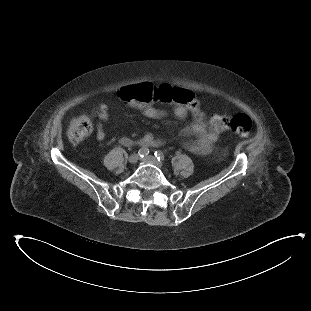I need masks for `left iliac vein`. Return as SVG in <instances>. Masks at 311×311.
I'll use <instances>...</instances> for the list:
<instances>
[{"instance_id": "1", "label": "left iliac vein", "mask_w": 311, "mask_h": 311, "mask_svg": "<svg viewBox=\"0 0 311 311\" xmlns=\"http://www.w3.org/2000/svg\"><path fill=\"white\" fill-rule=\"evenodd\" d=\"M142 161L154 164L158 167H162V164L159 161H157V159L153 156H146V157L142 158Z\"/></svg>"}]
</instances>
